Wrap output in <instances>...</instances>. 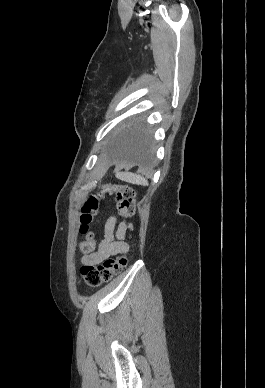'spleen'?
I'll return each mask as SVG.
<instances>
[{
    "label": "spleen",
    "instance_id": "3e777b00",
    "mask_svg": "<svg viewBox=\"0 0 265 388\" xmlns=\"http://www.w3.org/2000/svg\"><path fill=\"white\" fill-rule=\"evenodd\" d=\"M119 178L124 180V182H129V184H137V186H148L147 180L142 178V176H136V174H130V172H126V174H119Z\"/></svg>",
    "mask_w": 265,
    "mask_h": 388
}]
</instances>
